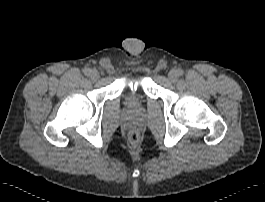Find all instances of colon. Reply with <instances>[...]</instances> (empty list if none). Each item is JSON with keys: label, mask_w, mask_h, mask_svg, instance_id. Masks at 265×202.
Returning a JSON list of instances; mask_svg holds the SVG:
<instances>
[{"label": "colon", "mask_w": 265, "mask_h": 202, "mask_svg": "<svg viewBox=\"0 0 265 202\" xmlns=\"http://www.w3.org/2000/svg\"><path fill=\"white\" fill-rule=\"evenodd\" d=\"M139 139H140V135H139L138 132L133 131V132H131L129 134V140H130V142L137 143L139 141Z\"/></svg>", "instance_id": "obj_1"}]
</instances>
